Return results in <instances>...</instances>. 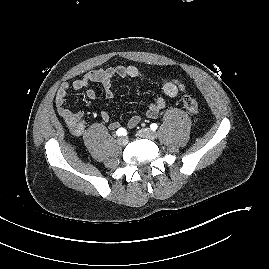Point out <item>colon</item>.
I'll list each match as a JSON object with an SVG mask.
<instances>
[{"label":"colon","mask_w":269,"mask_h":269,"mask_svg":"<svg viewBox=\"0 0 269 269\" xmlns=\"http://www.w3.org/2000/svg\"><path fill=\"white\" fill-rule=\"evenodd\" d=\"M183 105L196 119L198 114V104L196 100L191 96H185L183 99Z\"/></svg>","instance_id":"5ec220e1"}]
</instances>
